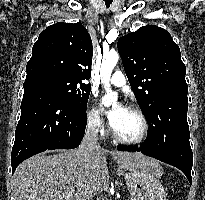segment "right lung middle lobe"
Masks as SVG:
<instances>
[{
    "instance_id": "dd1d6c3e",
    "label": "right lung middle lobe",
    "mask_w": 205,
    "mask_h": 200,
    "mask_svg": "<svg viewBox=\"0 0 205 200\" xmlns=\"http://www.w3.org/2000/svg\"><path fill=\"white\" fill-rule=\"evenodd\" d=\"M37 84L57 91L68 103L86 110L90 86L58 74H42L25 80L24 85Z\"/></svg>"
}]
</instances>
